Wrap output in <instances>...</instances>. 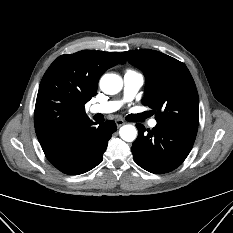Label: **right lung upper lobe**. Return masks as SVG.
<instances>
[{
	"label": "right lung upper lobe",
	"mask_w": 233,
	"mask_h": 233,
	"mask_svg": "<svg viewBox=\"0 0 233 233\" xmlns=\"http://www.w3.org/2000/svg\"><path fill=\"white\" fill-rule=\"evenodd\" d=\"M125 59L118 52L82 50L58 57L44 74L37 95L34 125L44 150L60 148L94 122L84 105L97 93L101 75Z\"/></svg>",
	"instance_id": "cb5924a9"
}]
</instances>
